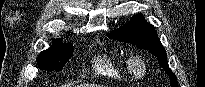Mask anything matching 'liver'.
<instances>
[{
  "instance_id": "6515ba94",
  "label": "liver",
  "mask_w": 205,
  "mask_h": 87,
  "mask_svg": "<svg viewBox=\"0 0 205 87\" xmlns=\"http://www.w3.org/2000/svg\"><path fill=\"white\" fill-rule=\"evenodd\" d=\"M85 87H98L97 85H86Z\"/></svg>"
}]
</instances>
